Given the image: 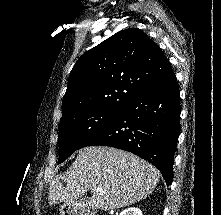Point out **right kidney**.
Returning a JSON list of instances; mask_svg holds the SVG:
<instances>
[{
    "label": "right kidney",
    "mask_w": 221,
    "mask_h": 215,
    "mask_svg": "<svg viewBox=\"0 0 221 215\" xmlns=\"http://www.w3.org/2000/svg\"><path fill=\"white\" fill-rule=\"evenodd\" d=\"M120 215H142V212L139 208H128L126 210H123Z\"/></svg>",
    "instance_id": "1"
}]
</instances>
